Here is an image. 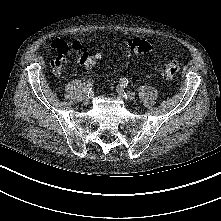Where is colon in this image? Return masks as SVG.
Masks as SVG:
<instances>
[{
  "mask_svg": "<svg viewBox=\"0 0 221 221\" xmlns=\"http://www.w3.org/2000/svg\"><path fill=\"white\" fill-rule=\"evenodd\" d=\"M150 49L151 45L140 38L131 39L127 43V51L132 55H143L149 52ZM99 59L100 56L98 54L89 55L88 53H85L81 56L79 63L82 67L91 69L98 63ZM179 68V60L177 58H171L161 69V75L166 79H170L178 72Z\"/></svg>",
  "mask_w": 221,
  "mask_h": 221,
  "instance_id": "5ec220e1",
  "label": "colon"
}]
</instances>
